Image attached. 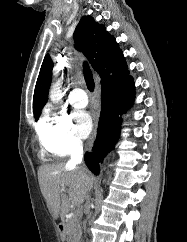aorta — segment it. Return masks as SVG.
I'll return each instance as SVG.
<instances>
[{"mask_svg": "<svg viewBox=\"0 0 187 242\" xmlns=\"http://www.w3.org/2000/svg\"><path fill=\"white\" fill-rule=\"evenodd\" d=\"M61 81H56L50 89L49 98L54 103L57 104L61 98Z\"/></svg>", "mask_w": 187, "mask_h": 242, "instance_id": "obj_1", "label": "aorta"}]
</instances>
